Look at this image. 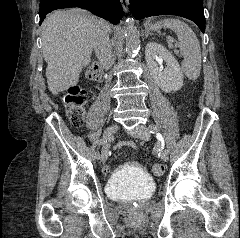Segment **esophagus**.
<instances>
[{"label": "esophagus", "mask_w": 240, "mask_h": 238, "mask_svg": "<svg viewBox=\"0 0 240 238\" xmlns=\"http://www.w3.org/2000/svg\"><path fill=\"white\" fill-rule=\"evenodd\" d=\"M120 2H121L124 12H128V5H129L128 0H120Z\"/></svg>", "instance_id": "34e87169"}]
</instances>
